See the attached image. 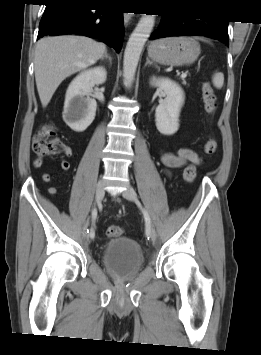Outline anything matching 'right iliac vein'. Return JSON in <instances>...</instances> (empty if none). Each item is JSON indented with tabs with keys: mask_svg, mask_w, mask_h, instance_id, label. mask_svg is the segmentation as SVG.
Masks as SVG:
<instances>
[{
	"mask_svg": "<svg viewBox=\"0 0 261 355\" xmlns=\"http://www.w3.org/2000/svg\"><path fill=\"white\" fill-rule=\"evenodd\" d=\"M104 197V181L101 179L97 183L96 190H95V200L96 203H100ZM87 224L83 227V236L86 234Z\"/></svg>",
	"mask_w": 261,
	"mask_h": 355,
	"instance_id": "right-iliac-vein-1",
	"label": "right iliac vein"
}]
</instances>
